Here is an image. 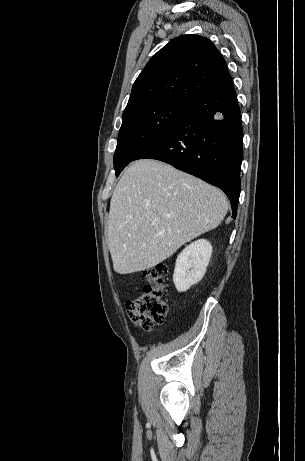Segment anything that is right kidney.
<instances>
[{"label": "right kidney", "mask_w": 305, "mask_h": 461, "mask_svg": "<svg viewBox=\"0 0 305 461\" xmlns=\"http://www.w3.org/2000/svg\"><path fill=\"white\" fill-rule=\"evenodd\" d=\"M212 254V245L199 239L178 255L173 274V282L178 292H185L198 283L206 273Z\"/></svg>", "instance_id": "right-kidney-1"}]
</instances>
